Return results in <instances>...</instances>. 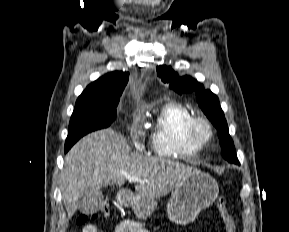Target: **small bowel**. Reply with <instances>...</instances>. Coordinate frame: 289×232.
Here are the masks:
<instances>
[{"mask_svg":"<svg viewBox=\"0 0 289 232\" xmlns=\"http://www.w3.org/2000/svg\"><path fill=\"white\" fill-rule=\"evenodd\" d=\"M82 232H99V230L95 225L89 224L82 229ZM115 232H150V231L142 223L136 221H124L116 226Z\"/></svg>","mask_w":289,"mask_h":232,"instance_id":"c3829d8e","label":"small bowel"}]
</instances>
